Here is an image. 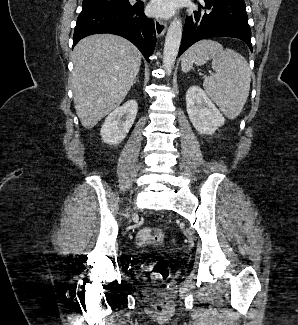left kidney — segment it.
Masks as SVG:
<instances>
[{
  "label": "left kidney",
  "instance_id": "1",
  "mask_svg": "<svg viewBox=\"0 0 298 325\" xmlns=\"http://www.w3.org/2000/svg\"><path fill=\"white\" fill-rule=\"evenodd\" d=\"M185 98L187 114L199 134H213L216 128L224 124L223 114L201 86H189Z\"/></svg>",
  "mask_w": 298,
  "mask_h": 325
}]
</instances>
